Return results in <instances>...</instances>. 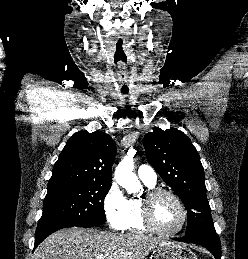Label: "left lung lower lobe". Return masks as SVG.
<instances>
[{
	"instance_id": "0a47b994",
	"label": "left lung lower lobe",
	"mask_w": 248,
	"mask_h": 259,
	"mask_svg": "<svg viewBox=\"0 0 248 259\" xmlns=\"http://www.w3.org/2000/svg\"><path fill=\"white\" fill-rule=\"evenodd\" d=\"M175 240L180 242H192L199 244L211 251L215 259H220L221 257L220 239L215 230L204 231L194 235H185L181 238H175Z\"/></svg>"
}]
</instances>
